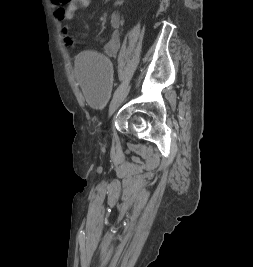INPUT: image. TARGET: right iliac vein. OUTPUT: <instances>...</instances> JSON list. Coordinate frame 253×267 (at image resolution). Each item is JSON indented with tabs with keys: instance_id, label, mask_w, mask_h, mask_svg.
Listing matches in <instances>:
<instances>
[{
	"instance_id": "right-iliac-vein-1",
	"label": "right iliac vein",
	"mask_w": 253,
	"mask_h": 267,
	"mask_svg": "<svg viewBox=\"0 0 253 267\" xmlns=\"http://www.w3.org/2000/svg\"><path fill=\"white\" fill-rule=\"evenodd\" d=\"M129 91V87H124L120 92H118L112 99L109 106V116H111L119 107V105L124 101Z\"/></svg>"
}]
</instances>
